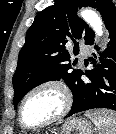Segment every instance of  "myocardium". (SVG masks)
Segmentation results:
<instances>
[{
  "instance_id": "f54148a6",
  "label": "myocardium",
  "mask_w": 116,
  "mask_h": 134,
  "mask_svg": "<svg viewBox=\"0 0 116 134\" xmlns=\"http://www.w3.org/2000/svg\"><path fill=\"white\" fill-rule=\"evenodd\" d=\"M46 88L55 89L60 93V95L62 97V107H61L60 111L55 116H53L52 118H50L42 123L35 124V125L27 124L23 118V108H24L25 102L33 93H35L39 90H42V89H46ZM71 105H72V95H71V92H70L69 88L67 87V85L59 80H46V81H43V82H40V83L34 85L22 97V99L19 103V108H18V119H19L21 126L24 128H27V129L45 128V127H48L50 125H53V124L61 121L69 112Z\"/></svg>"
}]
</instances>
